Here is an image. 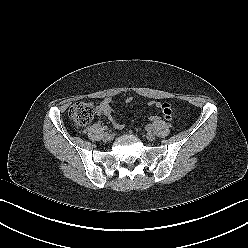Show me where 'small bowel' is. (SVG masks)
I'll return each instance as SVG.
<instances>
[{
    "label": "small bowel",
    "instance_id": "1",
    "mask_svg": "<svg viewBox=\"0 0 248 248\" xmlns=\"http://www.w3.org/2000/svg\"><path fill=\"white\" fill-rule=\"evenodd\" d=\"M131 101H132L131 97H128L126 99L127 103H130ZM148 105L154 106L157 109H161L163 116L166 120L172 119L174 113L170 104L150 101ZM95 112L98 117L106 116L111 121V123L115 128L122 129L124 127V124L116 120L113 116L112 99L110 97L105 98L99 105H97L95 108Z\"/></svg>",
    "mask_w": 248,
    "mask_h": 248
}]
</instances>
